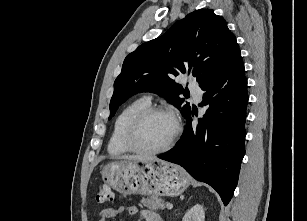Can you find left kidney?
I'll return each mask as SVG.
<instances>
[{"label": "left kidney", "instance_id": "1", "mask_svg": "<svg viewBox=\"0 0 307 221\" xmlns=\"http://www.w3.org/2000/svg\"><path fill=\"white\" fill-rule=\"evenodd\" d=\"M205 212L203 206L197 204L193 206L183 217L182 221H204Z\"/></svg>", "mask_w": 307, "mask_h": 221}]
</instances>
